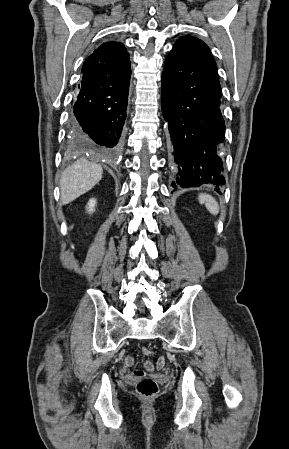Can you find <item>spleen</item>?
I'll list each match as a JSON object with an SVG mask.
<instances>
[{
	"label": "spleen",
	"mask_w": 289,
	"mask_h": 449,
	"mask_svg": "<svg viewBox=\"0 0 289 449\" xmlns=\"http://www.w3.org/2000/svg\"><path fill=\"white\" fill-rule=\"evenodd\" d=\"M198 200L200 204H204L207 210L213 214L217 215L219 213V205L218 202L209 194H199Z\"/></svg>",
	"instance_id": "obj_1"
}]
</instances>
